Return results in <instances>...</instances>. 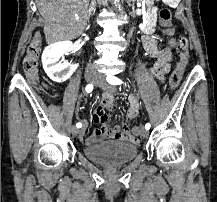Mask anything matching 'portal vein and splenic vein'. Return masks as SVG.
I'll use <instances>...</instances> for the list:
<instances>
[{
    "mask_svg": "<svg viewBox=\"0 0 217 202\" xmlns=\"http://www.w3.org/2000/svg\"><path fill=\"white\" fill-rule=\"evenodd\" d=\"M75 20H76V22H77V20H79V18H78V16H77V14H76V16H75Z\"/></svg>",
    "mask_w": 217,
    "mask_h": 202,
    "instance_id": "18ae733b",
    "label": "portal vein and splenic vein"
}]
</instances>
